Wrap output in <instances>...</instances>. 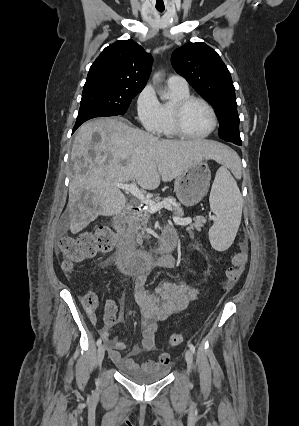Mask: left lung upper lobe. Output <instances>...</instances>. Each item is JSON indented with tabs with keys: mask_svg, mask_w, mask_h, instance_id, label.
<instances>
[{
	"mask_svg": "<svg viewBox=\"0 0 299 426\" xmlns=\"http://www.w3.org/2000/svg\"><path fill=\"white\" fill-rule=\"evenodd\" d=\"M171 62L175 71L213 105L220 123L219 137L242 145L235 88L218 53L203 42H189L173 52Z\"/></svg>",
	"mask_w": 299,
	"mask_h": 426,
	"instance_id": "obj_1",
	"label": "left lung upper lobe"
}]
</instances>
